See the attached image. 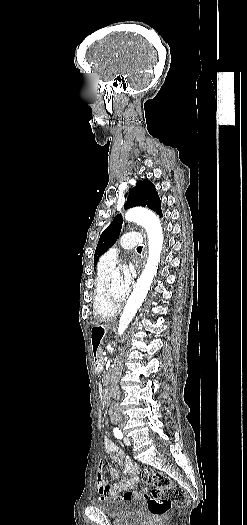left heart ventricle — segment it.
<instances>
[{"instance_id":"1","label":"left heart ventricle","mask_w":247,"mask_h":525,"mask_svg":"<svg viewBox=\"0 0 247 525\" xmlns=\"http://www.w3.org/2000/svg\"><path fill=\"white\" fill-rule=\"evenodd\" d=\"M130 253H125L118 264L120 270L129 269V270H141L146 267V264L133 263L130 259ZM120 278H110L109 280V289L110 292L117 294Z\"/></svg>"}]
</instances>
